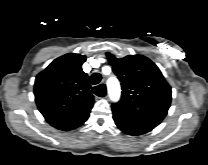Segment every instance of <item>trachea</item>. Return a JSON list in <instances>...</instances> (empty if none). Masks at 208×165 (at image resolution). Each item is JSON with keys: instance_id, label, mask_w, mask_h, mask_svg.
Listing matches in <instances>:
<instances>
[{"instance_id": "3493384b", "label": "trachea", "mask_w": 208, "mask_h": 165, "mask_svg": "<svg viewBox=\"0 0 208 165\" xmlns=\"http://www.w3.org/2000/svg\"><path fill=\"white\" fill-rule=\"evenodd\" d=\"M100 81H101V75L99 73L92 74V76H91V83L93 85L98 84ZM93 92L97 96H99V97H103L105 95V93H106L105 87L103 85H99L97 87H94L93 88Z\"/></svg>"}]
</instances>
